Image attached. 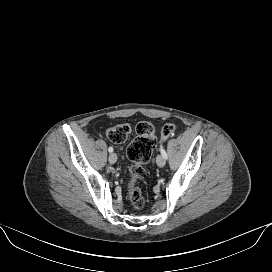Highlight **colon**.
<instances>
[{
	"label": "colon",
	"mask_w": 272,
	"mask_h": 272,
	"mask_svg": "<svg viewBox=\"0 0 272 272\" xmlns=\"http://www.w3.org/2000/svg\"><path fill=\"white\" fill-rule=\"evenodd\" d=\"M176 126L168 123L161 130V139H167L175 132ZM134 130L136 137L127 148V156L132 162L129 173L130 179L127 188V195L132 206L141 210L145 206V197L137 182L146 177L144 165L150 160L156 146V137L154 126L148 121L138 122ZM132 127L127 124H120L107 130V137L113 143H122L126 141Z\"/></svg>",
	"instance_id": "1"
}]
</instances>
